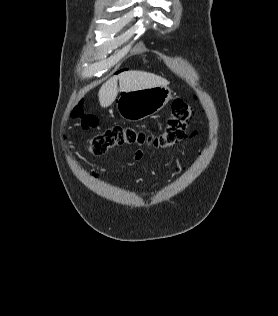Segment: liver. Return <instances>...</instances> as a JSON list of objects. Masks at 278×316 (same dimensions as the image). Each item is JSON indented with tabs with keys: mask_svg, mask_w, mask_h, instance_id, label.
Returning a JSON list of instances; mask_svg holds the SVG:
<instances>
[{
	"mask_svg": "<svg viewBox=\"0 0 278 316\" xmlns=\"http://www.w3.org/2000/svg\"><path fill=\"white\" fill-rule=\"evenodd\" d=\"M119 80V89L117 81ZM168 81L160 76L144 71H127L108 79L100 88L98 97L102 107L110 106L118 91L131 92L156 86H167Z\"/></svg>",
	"mask_w": 278,
	"mask_h": 316,
	"instance_id": "6515ba94",
	"label": "liver"
}]
</instances>
